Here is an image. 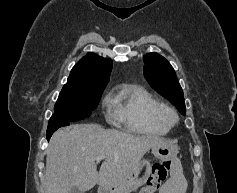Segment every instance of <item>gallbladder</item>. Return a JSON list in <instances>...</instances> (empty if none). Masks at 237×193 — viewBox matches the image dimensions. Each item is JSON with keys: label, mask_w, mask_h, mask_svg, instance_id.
<instances>
[{"label": "gallbladder", "mask_w": 237, "mask_h": 193, "mask_svg": "<svg viewBox=\"0 0 237 193\" xmlns=\"http://www.w3.org/2000/svg\"><path fill=\"white\" fill-rule=\"evenodd\" d=\"M68 193H84L83 191H81L79 188L77 187H72L70 188Z\"/></svg>", "instance_id": "1"}]
</instances>
